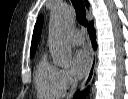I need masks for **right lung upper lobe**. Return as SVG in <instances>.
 <instances>
[{
	"label": "right lung upper lobe",
	"mask_w": 128,
	"mask_h": 99,
	"mask_svg": "<svg viewBox=\"0 0 128 99\" xmlns=\"http://www.w3.org/2000/svg\"><path fill=\"white\" fill-rule=\"evenodd\" d=\"M85 4L88 7L89 3L88 0H85ZM42 25H43V16L40 15L37 19V22L34 27V32H33V37H32V43H31V51H30V56H33L37 47V44L40 40V34L42 30Z\"/></svg>",
	"instance_id": "1"
}]
</instances>
